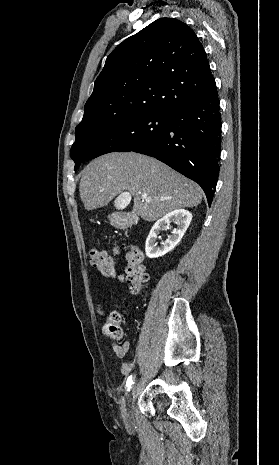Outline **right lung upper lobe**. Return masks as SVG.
<instances>
[{"label": "right lung upper lobe", "instance_id": "obj_1", "mask_svg": "<svg viewBox=\"0 0 279 465\" xmlns=\"http://www.w3.org/2000/svg\"><path fill=\"white\" fill-rule=\"evenodd\" d=\"M213 82L194 31L179 20L160 18L107 57L76 129L140 112H168L200 98Z\"/></svg>", "mask_w": 279, "mask_h": 465}]
</instances>
